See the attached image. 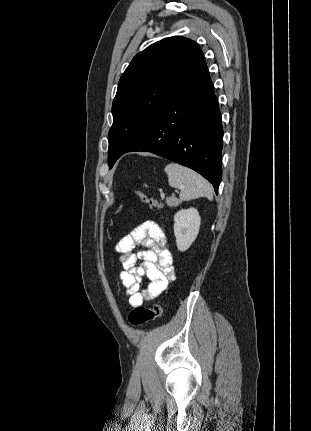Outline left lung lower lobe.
<instances>
[{"mask_svg":"<svg viewBox=\"0 0 311 431\" xmlns=\"http://www.w3.org/2000/svg\"><path fill=\"white\" fill-rule=\"evenodd\" d=\"M222 138L218 99L204 61L125 153L151 152L189 167L205 177L218 194Z\"/></svg>","mask_w":311,"mask_h":431,"instance_id":"obj_1","label":"left lung lower lobe"}]
</instances>
